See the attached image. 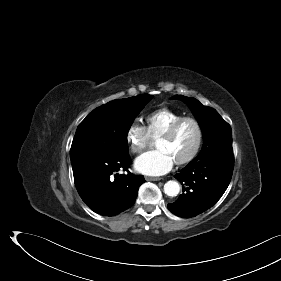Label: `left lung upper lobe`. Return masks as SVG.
Wrapping results in <instances>:
<instances>
[{
	"label": "left lung upper lobe",
	"instance_id": "5c2ea615",
	"mask_svg": "<svg viewBox=\"0 0 281 281\" xmlns=\"http://www.w3.org/2000/svg\"><path fill=\"white\" fill-rule=\"evenodd\" d=\"M173 98L190 106L202 128L204 143L200 154L194 160L220 155L233 156L231 127L216 110L202 105L195 98L182 95H175Z\"/></svg>",
	"mask_w": 281,
	"mask_h": 281
}]
</instances>
